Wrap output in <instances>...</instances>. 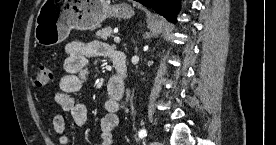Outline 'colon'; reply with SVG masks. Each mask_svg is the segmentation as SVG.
Segmentation results:
<instances>
[{
  "mask_svg": "<svg viewBox=\"0 0 276 145\" xmlns=\"http://www.w3.org/2000/svg\"><path fill=\"white\" fill-rule=\"evenodd\" d=\"M34 83L38 87H44L51 81L50 69L44 65H39L34 69Z\"/></svg>",
  "mask_w": 276,
  "mask_h": 145,
  "instance_id": "1",
  "label": "colon"
}]
</instances>
